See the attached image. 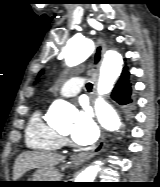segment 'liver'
Wrapping results in <instances>:
<instances>
[{"label": "liver", "mask_w": 160, "mask_h": 187, "mask_svg": "<svg viewBox=\"0 0 160 187\" xmlns=\"http://www.w3.org/2000/svg\"><path fill=\"white\" fill-rule=\"evenodd\" d=\"M64 157L59 154L26 151L21 153L15 161L13 179L18 180L28 170L54 168Z\"/></svg>", "instance_id": "1"}]
</instances>
